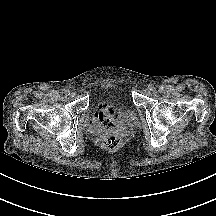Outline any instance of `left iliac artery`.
Instances as JSON below:
<instances>
[{
  "label": "left iliac artery",
  "mask_w": 216,
  "mask_h": 216,
  "mask_svg": "<svg viewBox=\"0 0 216 216\" xmlns=\"http://www.w3.org/2000/svg\"><path fill=\"white\" fill-rule=\"evenodd\" d=\"M149 87H150V91H154L155 90L154 85H150Z\"/></svg>",
  "instance_id": "44dca946"
}]
</instances>
